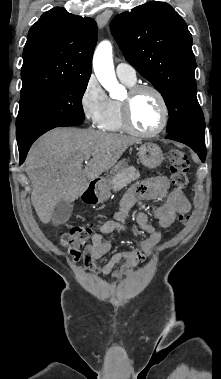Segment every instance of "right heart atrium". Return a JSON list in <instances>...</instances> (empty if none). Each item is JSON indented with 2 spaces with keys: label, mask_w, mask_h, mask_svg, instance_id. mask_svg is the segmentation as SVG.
<instances>
[{
  "label": "right heart atrium",
  "mask_w": 221,
  "mask_h": 379,
  "mask_svg": "<svg viewBox=\"0 0 221 379\" xmlns=\"http://www.w3.org/2000/svg\"><path fill=\"white\" fill-rule=\"evenodd\" d=\"M110 98L94 77H90L81 93L80 106L85 118L94 126H99L105 118Z\"/></svg>",
  "instance_id": "obj_1"
}]
</instances>
